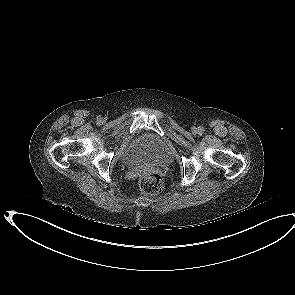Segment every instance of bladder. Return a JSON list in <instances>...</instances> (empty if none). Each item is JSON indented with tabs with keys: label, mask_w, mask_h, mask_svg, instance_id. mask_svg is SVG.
I'll list each match as a JSON object with an SVG mask.
<instances>
[{
	"label": "bladder",
	"mask_w": 295,
	"mask_h": 295,
	"mask_svg": "<svg viewBox=\"0 0 295 295\" xmlns=\"http://www.w3.org/2000/svg\"><path fill=\"white\" fill-rule=\"evenodd\" d=\"M123 160L128 164L145 162L157 166H168L172 162V153L162 138L143 133L127 145Z\"/></svg>",
	"instance_id": "1"
}]
</instances>
